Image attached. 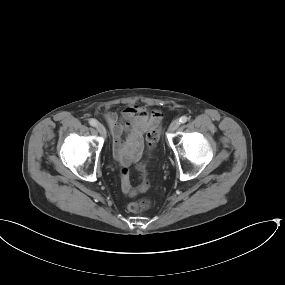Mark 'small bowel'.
Returning a JSON list of instances; mask_svg holds the SVG:
<instances>
[{
    "label": "small bowel",
    "instance_id": "1",
    "mask_svg": "<svg viewBox=\"0 0 285 285\" xmlns=\"http://www.w3.org/2000/svg\"><path fill=\"white\" fill-rule=\"evenodd\" d=\"M103 117L111 128L114 158L121 166L127 167L140 159L143 135L157 126L162 119V112L160 110L149 112L141 106H132L120 115L115 112H107ZM126 129H129L130 134L126 145H123L122 134ZM122 191L129 196L144 192L140 188H130L129 190L122 188Z\"/></svg>",
    "mask_w": 285,
    "mask_h": 285
}]
</instances>
